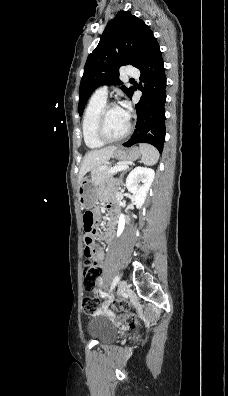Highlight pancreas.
Instances as JSON below:
<instances>
[{
  "mask_svg": "<svg viewBox=\"0 0 228 396\" xmlns=\"http://www.w3.org/2000/svg\"><path fill=\"white\" fill-rule=\"evenodd\" d=\"M110 168L111 167L109 166V167L95 170L91 176L92 181L95 184L99 185V184H102L104 181L108 180L109 178H111L113 176V173L108 172L110 170Z\"/></svg>",
  "mask_w": 228,
  "mask_h": 396,
  "instance_id": "cf45deb5",
  "label": "pancreas"
}]
</instances>
